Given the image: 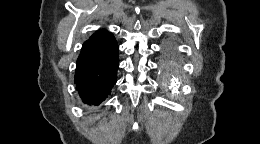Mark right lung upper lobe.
<instances>
[{
    "instance_id": "1",
    "label": "right lung upper lobe",
    "mask_w": 260,
    "mask_h": 144,
    "mask_svg": "<svg viewBox=\"0 0 260 144\" xmlns=\"http://www.w3.org/2000/svg\"><path fill=\"white\" fill-rule=\"evenodd\" d=\"M106 33H109V32H107L106 30H98L91 36V38L98 37V36L104 35Z\"/></svg>"
}]
</instances>
